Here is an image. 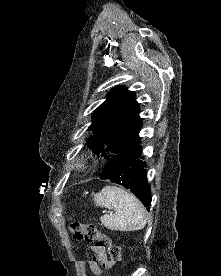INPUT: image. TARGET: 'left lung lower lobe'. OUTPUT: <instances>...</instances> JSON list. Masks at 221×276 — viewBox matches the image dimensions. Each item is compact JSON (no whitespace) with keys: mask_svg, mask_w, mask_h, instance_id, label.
Returning a JSON list of instances; mask_svg holds the SVG:
<instances>
[{"mask_svg":"<svg viewBox=\"0 0 221 276\" xmlns=\"http://www.w3.org/2000/svg\"><path fill=\"white\" fill-rule=\"evenodd\" d=\"M142 159V146L139 138L136 144L121 150L107 160L100 178L129 189L149 211L152 195L147 181V165Z\"/></svg>","mask_w":221,"mask_h":276,"instance_id":"left-lung-lower-lobe-1","label":"left lung lower lobe"}]
</instances>
